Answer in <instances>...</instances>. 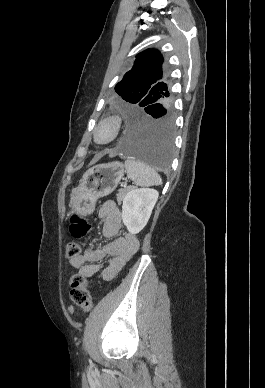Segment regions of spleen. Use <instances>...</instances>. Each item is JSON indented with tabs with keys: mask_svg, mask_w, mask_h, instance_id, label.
<instances>
[{
	"mask_svg": "<svg viewBox=\"0 0 265 388\" xmlns=\"http://www.w3.org/2000/svg\"><path fill=\"white\" fill-rule=\"evenodd\" d=\"M124 166L128 178L133 180L137 186H142V188H146V186H161L162 180L159 174L155 172L154 168L147 166L145 162L135 160V158H128L124 162Z\"/></svg>",
	"mask_w": 265,
	"mask_h": 388,
	"instance_id": "spleen-1",
	"label": "spleen"
}]
</instances>
